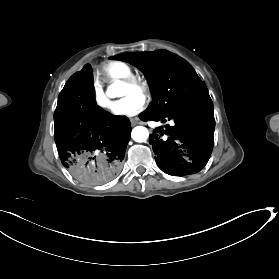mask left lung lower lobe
I'll use <instances>...</instances> for the list:
<instances>
[{"instance_id":"obj_1","label":"left lung lower lobe","mask_w":279,"mask_h":279,"mask_svg":"<svg viewBox=\"0 0 279 279\" xmlns=\"http://www.w3.org/2000/svg\"><path fill=\"white\" fill-rule=\"evenodd\" d=\"M210 96L200 98L165 115L142 113L144 121L174 125L159 127L150 136L157 165L167 174L185 176L199 172L208 162L214 144L215 120Z\"/></svg>"}]
</instances>
